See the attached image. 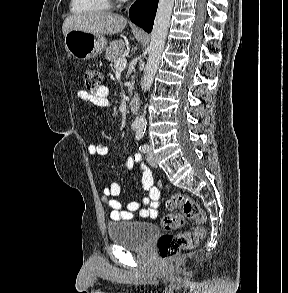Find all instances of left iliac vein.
<instances>
[{
	"label": "left iliac vein",
	"mask_w": 288,
	"mask_h": 293,
	"mask_svg": "<svg viewBox=\"0 0 288 293\" xmlns=\"http://www.w3.org/2000/svg\"><path fill=\"white\" fill-rule=\"evenodd\" d=\"M146 159L148 161V163L153 166V167H157L158 166V162L157 159L155 158L153 152L151 151V149H149V151L146 154Z\"/></svg>",
	"instance_id": "obj_1"
}]
</instances>
